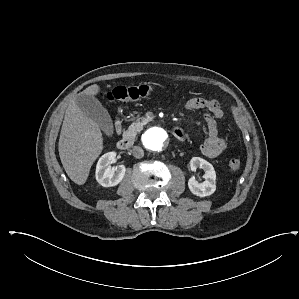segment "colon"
Wrapping results in <instances>:
<instances>
[{"instance_id": "colon-1", "label": "colon", "mask_w": 299, "mask_h": 299, "mask_svg": "<svg viewBox=\"0 0 299 299\" xmlns=\"http://www.w3.org/2000/svg\"><path fill=\"white\" fill-rule=\"evenodd\" d=\"M154 87L150 84H137L131 86H118L102 93L103 97L110 102L127 103L150 96ZM241 161L238 158L229 160V168L238 170Z\"/></svg>"}]
</instances>
